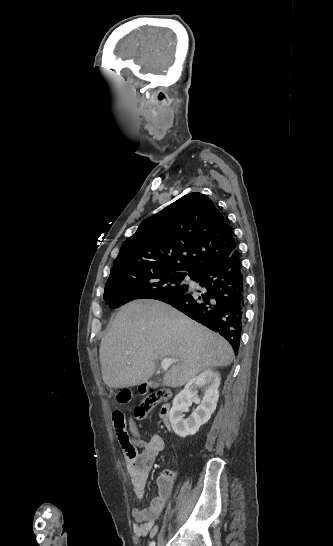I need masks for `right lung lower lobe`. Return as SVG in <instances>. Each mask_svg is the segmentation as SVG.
Wrapping results in <instances>:
<instances>
[{"label":"right lung lower lobe","instance_id":"right-lung-lower-lobe-1","mask_svg":"<svg viewBox=\"0 0 333 546\" xmlns=\"http://www.w3.org/2000/svg\"><path fill=\"white\" fill-rule=\"evenodd\" d=\"M195 281L203 287L202 291L163 296L159 300L218 332L237 354L245 308V282L238 251L204 268L195 275Z\"/></svg>","mask_w":333,"mask_h":546}]
</instances>
